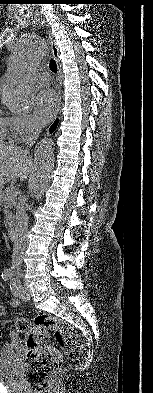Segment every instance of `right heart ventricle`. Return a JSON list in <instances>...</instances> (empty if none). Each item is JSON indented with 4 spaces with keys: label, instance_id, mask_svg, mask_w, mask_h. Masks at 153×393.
<instances>
[{
    "label": "right heart ventricle",
    "instance_id": "e07e8e85",
    "mask_svg": "<svg viewBox=\"0 0 153 393\" xmlns=\"http://www.w3.org/2000/svg\"><path fill=\"white\" fill-rule=\"evenodd\" d=\"M12 117L0 115V141L9 140L12 136Z\"/></svg>",
    "mask_w": 153,
    "mask_h": 393
}]
</instances>
